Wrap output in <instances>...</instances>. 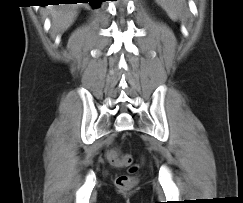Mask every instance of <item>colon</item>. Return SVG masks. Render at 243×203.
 <instances>
[{
    "label": "colon",
    "mask_w": 243,
    "mask_h": 203,
    "mask_svg": "<svg viewBox=\"0 0 243 203\" xmlns=\"http://www.w3.org/2000/svg\"><path fill=\"white\" fill-rule=\"evenodd\" d=\"M112 161L121 167L130 166L132 159L127 154H119L116 150H112L110 153ZM136 166L130 167V172L128 174L120 175L116 178V186L121 190H130L135 184L136 180L134 178V173L136 171Z\"/></svg>",
    "instance_id": "obj_1"
}]
</instances>
